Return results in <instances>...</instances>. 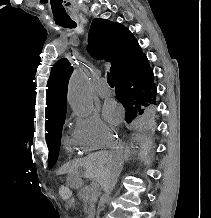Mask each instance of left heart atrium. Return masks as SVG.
<instances>
[{"instance_id":"left-heart-atrium-1","label":"left heart atrium","mask_w":211,"mask_h":218,"mask_svg":"<svg viewBox=\"0 0 211 218\" xmlns=\"http://www.w3.org/2000/svg\"><path fill=\"white\" fill-rule=\"evenodd\" d=\"M104 116L111 123L116 124L120 119V112L117 108V105L114 101H107L104 105Z\"/></svg>"}]
</instances>
